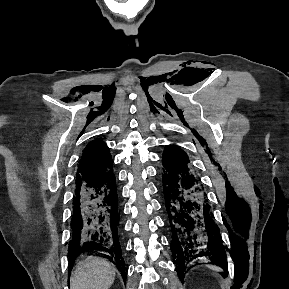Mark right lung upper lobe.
I'll return each instance as SVG.
<instances>
[{
	"label": "right lung upper lobe",
	"instance_id": "right-lung-upper-lobe-1",
	"mask_svg": "<svg viewBox=\"0 0 289 289\" xmlns=\"http://www.w3.org/2000/svg\"><path fill=\"white\" fill-rule=\"evenodd\" d=\"M109 149L102 140H94L83 150L76 175V184L92 180L112 169Z\"/></svg>",
	"mask_w": 289,
	"mask_h": 289
}]
</instances>
